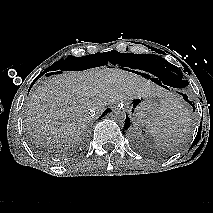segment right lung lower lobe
<instances>
[{
  "mask_svg": "<svg viewBox=\"0 0 213 213\" xmlns=\"http://www.w3.org/2000/svg\"><path fill=\"white\" fill-rule=\"evenodd\" d=\"M58 73H62L61 71H56V72H52V73H47V75H51V74H58ZM37 80V79H36ZM35 80V81H36ZM34 81V82H35ZM34 82L32 83V85L34 84ZM110 111V109H107L104 113H103V115L102 116H104L105 115V113H107V112H109Z\"/></svg>",
  "mask_w": 213,
  "mask_h": 213,
  "instance_id": "right-lung-lower-lobe-1",
  "label": "right lung lower lobe"
}]
</instances>
